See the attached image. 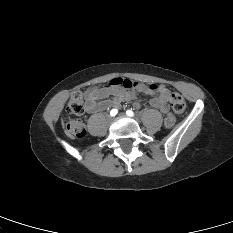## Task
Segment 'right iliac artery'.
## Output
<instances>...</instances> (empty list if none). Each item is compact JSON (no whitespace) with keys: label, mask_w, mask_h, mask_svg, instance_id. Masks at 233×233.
Segmentation results:
<instances>
[{"label":"right iliac artery","mask_w":233,"mask_h":233,"mask_svg":"<svg viewBox=\"0 0 233 233\" xmlns=\"http://www.w3.org/2000/svg\"><path fill=\"white\" fill-rule=\"evenodd\" d=\"M117 113H118V110H117V109H112V110L110 111V115H111L112 117H114Z\"/></svg>","instance_id":"obj_1"}]
</instances>
